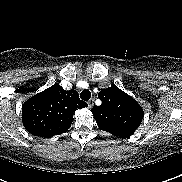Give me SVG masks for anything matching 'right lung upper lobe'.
Returning a JSON list of instances; mask_svg holds the SVG:
<instances>
[{"label": "right lung upper lobe", "mask_w": 182, "mask_h": 182, "mask_svg": "<svg viewBox=\"0 0 182 182\" xmlns=\"http://www.w3.org/2000/svg\"><path fill=\"white\" fill-rule=\"evenodd\" d=\"M88 107L74 89L58 83L29 98L22 106L25 129L36 136L51 137L68 131L76 110Z\"/></svg>", "instance_id": "1"}]
</instances>
